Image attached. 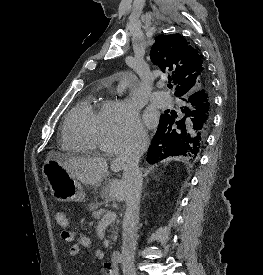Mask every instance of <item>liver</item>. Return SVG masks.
<instances>
[{
    "instance_id": "1",
    "label": "liver",
    "mask_w": 263,
    "mask_h": 275,
    "mask_svg": "<svg viewBox=\"0 0 263 275\" xmlns=\"http://www.w3.org/2000/svg\"><path fill=\"white\" fill-rule=\"evenodd\" d=\"M47 159L57 160L72 177L81 181L85 185L96 186L101 184L108 171L107 160L101 157L95 158H67V156L50 152ZM112 171H119L121 167L118 166L116 160L112 161ZM127 195V185L125 180L113 179L109 181L105 189L104 197L108 201H124Z\"/></svg>"
}]
</instances>
